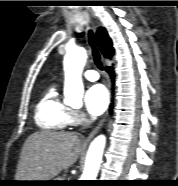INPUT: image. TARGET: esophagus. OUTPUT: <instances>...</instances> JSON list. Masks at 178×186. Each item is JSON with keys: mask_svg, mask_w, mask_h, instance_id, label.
Instances as JSON below:
<instances>
[{"mask_svg": "<svg viewBox=\"0 0 178 186\" xmlns=\"http://www.w3.org/2000/svg\"><path fill=\"white\" fill-rule=\"evenodd\" d=\"M104 122H105V119H103V120L90 132V134H89L88 137H87V140H90V139H92V138L95 136V134H96V133L100 130V128L103 126Z\"/></svg>", "mask_w": 178, "mask_h": 186, "instance_id": "obj_1", "label": "esophagus"}]
</instances>
